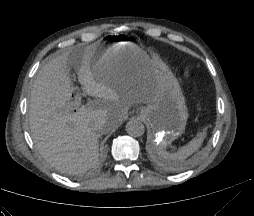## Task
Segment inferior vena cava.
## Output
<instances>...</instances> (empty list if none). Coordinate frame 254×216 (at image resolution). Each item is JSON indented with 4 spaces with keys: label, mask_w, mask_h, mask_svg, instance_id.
<instances>
[{
    "label": "inferior vena cava",
    "mask_w": 254,
    "mask_h": 216,
    "mask_svg": "<svg viewBox=\"0 0 254 216\" xmlns=\"http://www.w3.org/2000/svg\"><path fill=\"white\" fill-rule=\"evenodd\" d=\"M103 124H104V122L99 121L98 123L95 124L94 128L96 130H100L102 128Z\"/></svg>",
    "instance_id": "obj_1"
}]
</instances>
